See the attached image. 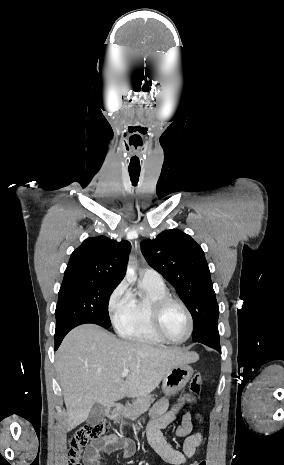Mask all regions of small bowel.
Listing matches in <instances>:
<instances>
[{"label": "small bowel", "instance_id": "small-bowel-1", "mask_svg": "<svg viewBox=\"0 0 284 465\" xmlns=\"http://www.w3.org/2000/svg\"><path fill=\"white\" fill-rule=\"evenodd\" d=\"M188 395L180 397L177 402L169 408L167 397L161 398L153 406L151 411V419L147 426V437L149 443L155 450L168 462L173 465H186L191 459L204 439L203 429H200L194 434H190L192 430V417L187 415L183 418L182 424L177 428V436H187L182 450L172 448L162 434V429L167 427L175 419L178 411L184 403L190 401ZM196 419L203 423V417L197 414ZM121 449L122 455L125 458L132 457L135 453V445L132 440L124 438L119 439L117 435L111 434L104 438L100 444L94 449L93 453L87 456V461L90 465H98L97 459L102 455L109 454L115 449ZM191 465H207L205 461L195 460Z\"/></svg>", "mask_w": 284, "mask_h": 465}]
</instances>
